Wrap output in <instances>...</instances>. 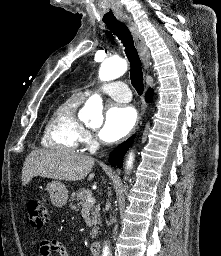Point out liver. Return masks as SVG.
<instances>
[{"instance_id":"obj_1","label":"liver","mask_w":221,"mask_h":256,"mask_svg":"<svg viewBox=\"0 0 221 256\" xmlns=\"http://www.w3.org/2000/svg\"><path fill=\"white\" fill-rule=\"evenodd\" d=\"M94 158L62 149H38L27 156L22 169V184L41 176L65 181L84 179L94 166ZM95 174L91 173V181Z\"/></svg>"}]
</instances>
